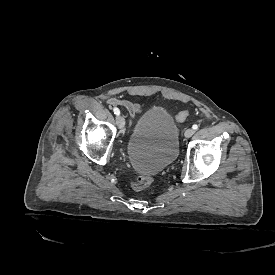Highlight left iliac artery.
Instances as JSON below:
<instances>
[{
	"instance_id": "1",
	"label": "left iliac artery",
	"mask_w": 275,
	"mask_h": 275,
	"mask_svg": "<svg viewBox=\"0 0 275 275\" xmlns=\"http://www.w3.org/2000/svg\"><path fill=\"white\" fill-rule=\"evenodd\" d=\"M192 128H193L194 130H197V129H198V126H197L196 124H194V125L192 126Z\"/></svg>"
}]
</instances>
